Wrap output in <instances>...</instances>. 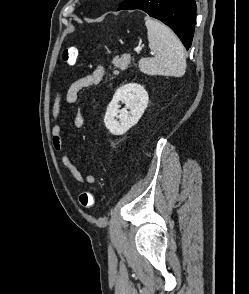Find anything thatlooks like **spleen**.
Returning a JSON list of instances; mask_svg holds the SVG:
<instances>
[{
  "mask_svg": "<svg viewBox=\"0 0 249 294\" xmlns=\"http://www.w3.org/2000/svg\"><path fill=\"white\" fill-rule=\"evenodd\" d=\"M149 48L155 52L153 58H142L139 69L147 75L182 77L186 70L185 51L173 31L156 19L147 17Z\"/></svg>",
  "mask_w": 249,
  "mask_h": 294,
  "instance_id": "spleen-1",
  "label": "spleen"
}]
</instances>
